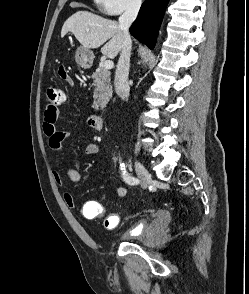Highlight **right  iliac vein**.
I'll use <instances>...</instances> for the list:
<instances>
[{
	"instance_id": "1",
	"label": "right iliac vein",
	"mask_w": 249,
	"mask_h": 294,
	"mask_svg": "<svg viewBox=\"0 0 249 294\" xmlns=\"http://www.w3.org/2000/svg\"><path fill=\"white\" fill-rule=\"evenodd\" d=\"M134 165L136 173L142 181L144 188H148L152 182L151 174L140 161L135 160Z\"/></svg>"
}]
</instances>
